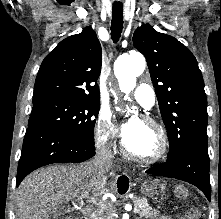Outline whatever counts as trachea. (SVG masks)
Masks as SVG:
<instances>
[{
  "label": "trachea",
  "instance_id": "1",
  "mask_svg": "<svg viewBox=\"0 0 221 219\" xmlns=\"http://www.w3.org/2000/svg\"><path fill=\"white\" fill-rule=\"evenodd\" d=\"M111 37L117 42L123 30V7L121 3H114L112 7Z\"/></svg>",
  "mask_w": 221,
  "mask_h": 219
}]
</instances>
